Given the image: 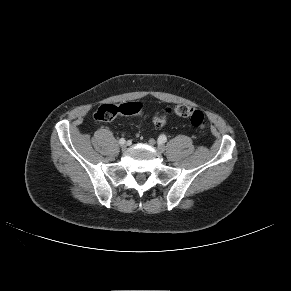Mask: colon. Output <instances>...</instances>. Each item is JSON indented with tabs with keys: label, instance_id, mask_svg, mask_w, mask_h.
I'll return each instance as SVG.
<instances>
[{
	"label": "colon",
	"instance_id": "colon-1",
	"mask_svg": "<svg viewBox=\"0 0 291 291\" xmlns=\"http://www.w3.org/2000/svg\"><path fill=\"white\" fill-rule=\"evenodd\" d=\"M143 110L141 102L131 101L122 104H103L95 111L93 117L97 122H108L113 120L117 115L134 116L140 115ZM171 115L177 117L188 118L191 125L196 129H204L206 127V118L202 111L180 104L173 108H165L163 111L156 113L152 122L156 127H163L168 122Z\"/></svg>",
	"mask_w": 291,
	"mask_h": 291
}]
</instances>
